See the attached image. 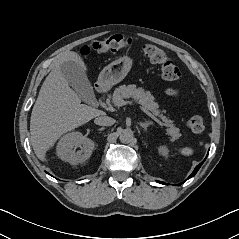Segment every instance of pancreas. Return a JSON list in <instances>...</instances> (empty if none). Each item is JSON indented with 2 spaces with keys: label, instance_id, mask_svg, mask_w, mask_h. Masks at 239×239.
Segmentation results:
<instances>
[{
  "label": "pancreas",
  "instance_id": "cf45deb5",
  "mask_svg": "<svg viewBox=\"0 0 239 239\" xmlns=\"http://www.w3.org/2000/svg\"><path fill=\"white\" fill-rule=\"evenodd\" d=\"M133 98L140 105L152 112L153 115L159 116L164 125L167 127V133L172 141L178 140L181 136L179 128L175 127L171 120L163 116L158 109V104L154 101V97L150 92L145 91L143 88H137L136 85H122L115 89L113 93V101Z\"/></svg>",
  "mask_w": 239,
  "mask_h": 239
}]
</instances>
